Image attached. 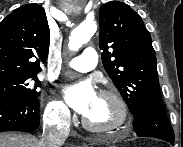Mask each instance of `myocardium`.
Masks as SVG:
<instances>
[{
    "mask_svg": "<svg viewBox=\"0 0 183 147\" xmlns=\"http://www.w3.org/2000/svg\"><path fill=\"white\" fill-rule=\"evenodd\" d=\"M102 97H107L111 99L119 111V118L118 121L112 125L108 126H98L90 122L84 115L82 117V124L83 126L94 133H110L119 131L123 128H125L130 121V110L128 107L127 102L124 100V98L116 91L110 90V89H104L101 90L98 94Z\"/></svg>",
    "mask_w": 183,
    "mask_h": 147,
    "instance_id": "1",
    "label": "myocardium"
}]
</instances>
